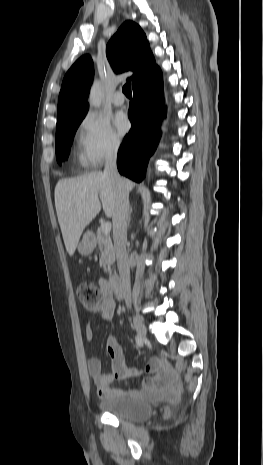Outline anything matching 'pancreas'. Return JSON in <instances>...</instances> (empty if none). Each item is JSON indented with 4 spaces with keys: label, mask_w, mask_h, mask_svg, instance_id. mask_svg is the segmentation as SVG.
Segmentation results:
<instances>
[{
    "label": "pancreas",
    "mask_w": 263,
    "mask_h": 465,
    "mask_svg": "<svg viewBox=\"0 0 263 465\" xmlns=\"http://www.w3.org/2000/svg\"><path fill=\"white\" fill-rule=\"evenodd\" d=\"M96 241L99 246V250L101 252L100 257V266L103 267L105 272H110L111 266L115 261V252L112 244V240L109 234H105L102 232L100 228H98L96 232Z\"/></svg>",
    "instance_id": "pancreas-1"
}]
</instances>
